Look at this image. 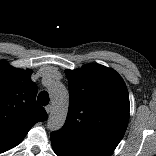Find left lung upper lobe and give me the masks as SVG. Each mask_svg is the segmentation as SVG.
Here are the masks:
<instances>
[{
  "mask_svg": "<svg viewBox=\"0 0 156 156\" xmlns=\"http://www.w3.org/2000/svg\"><path fill=\"white\" fill-rule=\"evenodd\" d=\"M69 110L57 134L109 156L121 141L129 119V95L121 76L100 64L68 70Z\"/></svg>",
  "mask_w": 156,
  "mask_h": 156,
  "instance_id": "obj_1",
  "label": "left lung upper lobe"
}]
</instances>
